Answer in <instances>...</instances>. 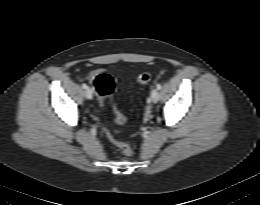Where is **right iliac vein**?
<instances>
[{"instance_id": "obj_1", "label": "right iliac vein", "mask_w": 260, "mask_h": 205, "mask_svg": "<svg viewBox=\"0 0 260 205\" xmlns=\"http://www.w3.org/2000/svg\"><path fill=\"white\" fill-rule=\"evenodd\" d=\"M85 97H86L87 99H92V98H93V91H92V89H90V88H87V89H86V91H85Z\"/></svg>"}]
</instances>
